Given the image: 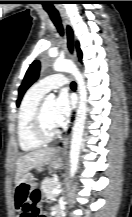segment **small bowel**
Listing matches in <instances>:
<instances>
[{
  "label": "small bowel",
  "mask_w": 132,
  "mask_h": 217,
  "mask_svg": "<svg viewBox=\"0 0 132 217\" xmlns=\"http://www.w3.org/2000/svg\"><path fill=\"white\" fill-rule=\"evenodd\" d=\"M26 198L27 197L25 195H19L17 197L16 206L20 212V217H32L31 213L27 209Z\"/></svg>",
  "instance_id": "c3829d8e"
}]
</instances>
